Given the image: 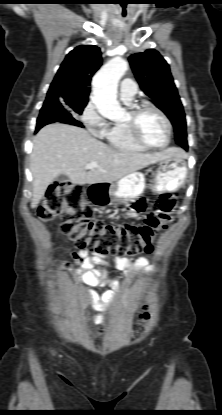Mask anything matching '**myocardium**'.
I'll use <instances>...</instances> for the list:
<instances>
[{"label":"myocardium","mask_w":222,"mask_h":415,"mask_svg":"<svg viewBox=\"0 0 222 415\" xmlns=\"http://www.w3.org/2000/svg\"><path fill=\"white\" fill-rule=\"evenodd\" d=\"M146 110H153L160 115L167 127V138L166 141L162 145H152L146 142L140 134L139 127H138V120L140 115ZM125 126L127 127L131 137L137 142L139 145L146 149L151 150H160L164 149L169 146L172 139L173 127L171 120L167 116V114L160 109L159 107L155 106L149 102H142L139 104L134 105L131 110L129 111V118L124 121Z\"/></svg>","instance_id":"myocardium-1"}]
</instances>
